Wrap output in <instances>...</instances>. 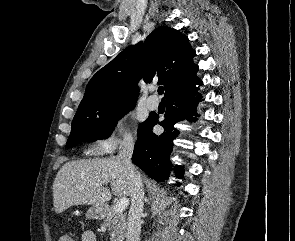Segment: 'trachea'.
<instances>
[{
	"mask_svg": "<svg viewBox=\"0 0 295 241\" xmlns=\"http://www.w3.org/2000/svg\"><path fill=\"white\" fill-rule=\"evenodd\" d=\"M158 93H159L160 95H162V94L164 93V88H163L162 86H160V87L158 88Z\"/></svg>",
	"mask_w": 295,
	"mask_h": 241,
	"instance_id": "1",
	"label": "trachea"
}]
</instances>
